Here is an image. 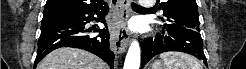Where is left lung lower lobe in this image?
I'll return each mask as SVG.
<instances>
[{
	"label": "left lung lower lobe",
	"mask_w": 246,
	"mask_h": 69,
	"mask_svg": "<svg viewBox=\"0 0 246 69\" xmlns=\"http://www.w3.org/2000/svg\"><path fill=\"white\" fill-rule=\"evenodd\" d=\"M162 35L158 34L155 39L147 38L142 46L141 68L155 55L179 51L191 54L203 60L207 66L203 52V42L199 32L189 29L164 28Z\"/></svg>",
	"instance_id": "obj_1"
}]
</instances>
